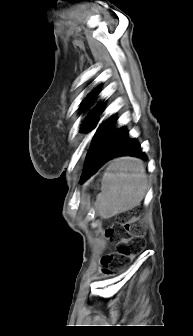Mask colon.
<instances>
[{
	"label": "colon",
	"mask_w": 193,
	"mask_h": 336,
	"mask_svg": "<svg viewBox=\"0 0 193 336\" xmlns=\"http://www.w3.org/2000/svg\"><path fill=\"white\" fill-rule=\"evenodd\" d=\"M122 230H117L116 227H110L106 235L111 241H118L117 254L121 257H132L140 250L142 246V238L145 235L146 229L141 224L136 213L133 211L121 214L116 222ZM114 260L113 254L103 256L101 263L108 270Z\"/></svg>",
	"instance_id": "5ec220e1"
}]
</instances>
